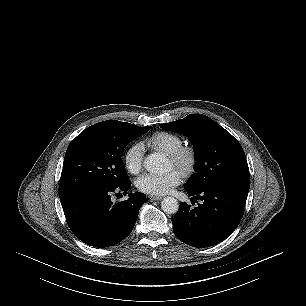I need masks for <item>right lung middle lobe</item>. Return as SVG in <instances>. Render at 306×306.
I'll return each instance as SVG.
<instances>
[{
    "instance_id": "1",
    "label": "right lung middle lobe",
    "mask_w": 306,
    "mask_h": 306,
    "mask_svg": "<svg viewBox=\"0 0 306 306\" xmlns=\"http://www.w3.org/2000/svg\"><path fill=\"white\" fill-rule=\"evenodd\" d=\"M151 129L107 120L92 125L69 144L59 197L94 186L119 187L129 181L121 158L125 146Z\"/></svg>"
}]
</instances>
